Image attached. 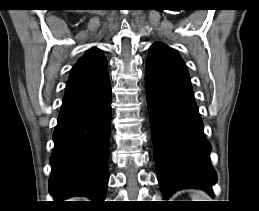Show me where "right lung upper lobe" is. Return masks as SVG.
I'll return each mask as SVG.
<instances>
[{
	"label": "right lung upper lobe",
	"mask_w": 259,
	"mask_h": 211,
	"mask_svg": "<svg viewBox=\"0 0 259 211\" xmlns=\"http://www.w3.org/2000/svg\"><path fill=\"white\" fill-rule=\"evenodd\" d=\"M108 83L107 61L99 49L91 48L72 68L63 104L91 96Z\"/></svg>",
	"instance_id": "1"
}]
</instances>
